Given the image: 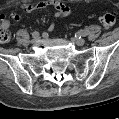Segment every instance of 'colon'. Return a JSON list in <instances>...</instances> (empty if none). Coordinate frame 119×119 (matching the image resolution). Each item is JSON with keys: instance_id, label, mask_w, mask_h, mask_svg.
Segmentation results:
<instances>
[{"instance_id": "1", "label": "colon", "mask_w": 119, "mask_h": 119, "mask_svg": "<svg viewBox=\"0 0 119 119\" xmlns=\"http://www.w3.org/2000/svg\"><path fill=\"white\" fill-rule=\"evenodd\" d=\"M100 21L106 28H111L115 25V23L117 21V15L114 12H107L100 17ZM9 40H10V33H9L8 29H4L1 26L0 42L7 43Z\"/></svg>"}]
</instances>
